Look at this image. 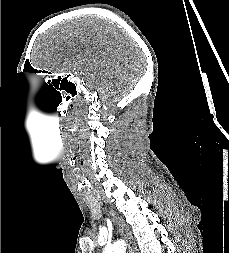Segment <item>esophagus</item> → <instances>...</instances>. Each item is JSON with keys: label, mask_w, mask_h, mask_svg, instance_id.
<instances>
[{"label": "esophagus", "mask_w": 229, "mask_h": 253, "mask_svg": "<svg viewBox=\"0 0 229 253\" xmlns=\"http://www.w3.org/2000/svg\"><path fill=\"white\" fill-rule=\"evenodd\" d=\"M109 213H110L114 223L116 224L120 234L122 236H124V238L127 242V245H128L129 252L130 253H137L135 242H134V239L129 231L128 226L125 224V222L123 221V219L121 217L116 215V213L113 210H110Z\"/></svg>", "instance_id": "obj_1"}]
</instances>
